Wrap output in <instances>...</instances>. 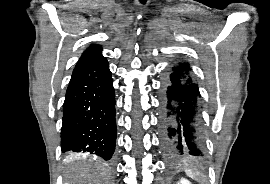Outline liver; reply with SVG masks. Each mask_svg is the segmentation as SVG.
Segmentation results:
<instances>
[{
    "label": "liver",
    "instance_id": "obj_1",
    "mask_svg": "<svg viewBox=\"0 0 270 184\" xmlns=\"http://www.w3.org/2000/svg\"><path fill=\"white\" fill-rule=\"evenodd\" d=\"M110 173L105 165H84L68 170L64 184H109Z\"/></svg>",
    "mask_w": 270,
    "mask_h": 184
}]
</instances>
